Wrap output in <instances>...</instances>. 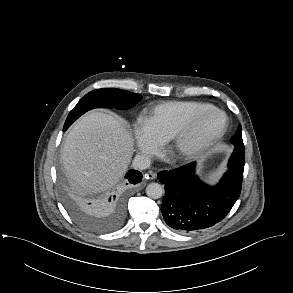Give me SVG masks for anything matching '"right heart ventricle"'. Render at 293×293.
Here are the masks:
<instances>
[{
	"label": "right heart ventricle",
	"instance_id": "e07e8e85",
	"mask_svg": "<svg viewBox=\"0 0 293 293\" xmlns=\"http://www.w3.org/2000/svg\"><path fill=\"white\" fill-rule=\"evenodd\" d=\"M212 105L197 101H168L151 108L143 117L162 142L169 140L196 112Z\"/></svg>",
	"mask_w": 293,
	"mask_h": 293
}]
</instances>
